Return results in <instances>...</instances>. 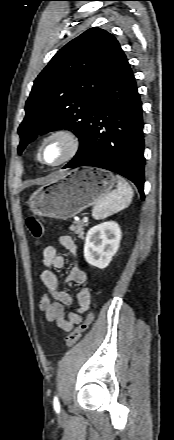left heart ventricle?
<instances>
[{
  "label": "left heart ventricle",
  "mask_w": 174,
  "mask_h": 440,
  "mask_svg": "<svg viewBox=\"0 0 174 440\" xmlns=\"http://www.w3.org/2000/svg\"><path fill=\"white\" fill-rule=\"evenodd\" d=\"M68 149L66 140L62 138H53L49 140L43 147L42 158L48 164L59 162Z\"/></svg>",
  "instance_id": "left-heart-ventricle-1"
}]
</instances>
